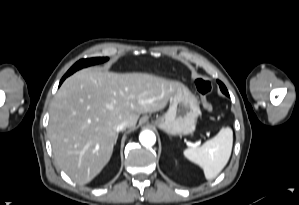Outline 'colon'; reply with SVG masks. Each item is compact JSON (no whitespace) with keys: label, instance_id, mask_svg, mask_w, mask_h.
<instances>
[{"label":"colon","instance_id":"obj_1","mask_svg":"<svg viewBox=\"0 0 299 205\" xmlns=\"http://www.w3.org/2000/svg\"><path fill=\"white\" fill-rule=\"evenodd\" d=\"M195 86L199 92L204 109L208 112L213 110L209 95L212 91V83L204 78H199L195 81Z\"/></svg>","mask_w":299,"mask_h":205}]
</instances>
